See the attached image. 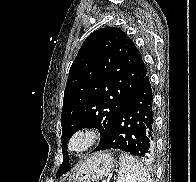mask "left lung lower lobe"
<instances>
[{
    "instance_id": "1",
    "label": "left lung lower lobe",
    "mask_w": 196,
    "mask_h": 182,
    "mask_svg": "<svg viewBox=\"0 0 196 182\" xmlns=\"http://www.w3.org/2000/svg\"><path fill=\"white\" fill-rule=\"evenodd\" d=\"M154 129L153 95L147 74L121 107L107 139L94 151L120 149L149 159L154 154Z\"/></svg>"
}]
</instances>
